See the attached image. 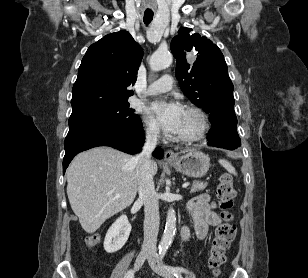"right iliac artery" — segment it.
I'll use <instances>...</instances> for the list:
<instances>
[{
  "label": "right iliac artery",
  "instance_id": "right-iliac-artery-1",
  "mask_svg": "<svg viewBox=\"0 0 308 278\" xmlns=\"http://www.w3.org/2000/svg\"><path fill=\"white\" fill-rule=\"evenodd\" d=\"M134 277V271L133 270H129L124 278H133Z\"/></svg>",
  "mask_w": 308,
  "mask_h": 278
}]
</instances>
